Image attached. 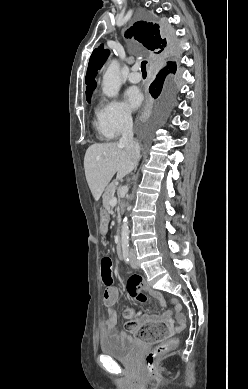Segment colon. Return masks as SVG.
<instances>
[{"label":"colon","mask_w":248,"mask_h":389,"mask_svg":"<svg viewBox=\"0 0 248 389\" xmlns=\"http://www.w3.org/2000/svg\"><path fill=\"white\" fill-rule=\"evenodd\" d=\"M112 260L109 257H104L101 260V273L103 281L108 286L114 285V280L112 279ZM117 292L108 287L103 296L104 304L110 305L117 300ZM176 303L177 309L181 308V305L178 302ZM126 317L129 318L126 323V328L128 330H133L137 327L136 323L131 320V312H126ZM183 327L182 322L174 324L170 319L165 318L159 320V322H144L143 326H139L138 330L133 331V336L137 337L140 344H152L154 340H159L160 337H170L172 329H181ZM178 345V340L176 338H171L168 341L158 345L156 348L152 349L145 355V366L148 371L155 372L158 368V362L161 358L173 351Z\"/></svg>","instance_id":"colon-1"}]
</instances>
